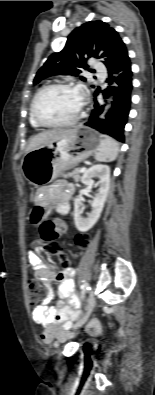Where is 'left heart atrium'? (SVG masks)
Masks as SVG:
<instances>
[{"instance_id":"1","label":"left heart atrium","mask_w":155,"mask_h":395,"mask_svg":"<svg viewBox=\"0 0 155 395\" xmlns=\"http://www.w3.org/2000/svg\"><path fill=\"white\" fill-rule=\"evenodd\" d=\"M79 96H80V100L82 101L83 99V94L81 92H79Z\"/></svg>"}]
</instances>
